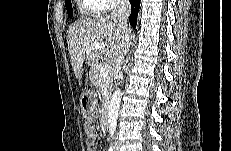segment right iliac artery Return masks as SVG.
<instances>
[{
    "label": "right iliac artery",
    "mask_w": 231,
    "mask_h": 151,
    "mask_svg": "<svg viewBox=\"0 0 231 151\" xmlns=\"http://www.w3.org/2000/svg\"><path fill=\"white\" fill-rule=\"evenodd\" d=\"M113 149H114V147H110V148H109V151H113Z\"/></svg>",
    "instance_id": "82829eb1"
}]
</instances>
